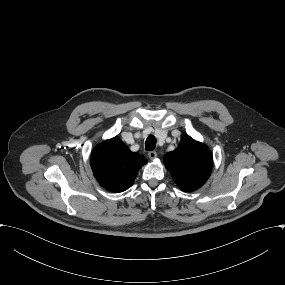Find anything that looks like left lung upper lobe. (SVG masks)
Masks as SVG:
<instances>
[{
  "mask_svg": "<svg viewBox=\"0 0 285 285\" xmlns=\"http://www.w3.org/2000/svg\"><path fill=\"white\" fill-rule=\"evenodd\" d=\"M164 164L180 189L191 192L209 178L212 154L207 146L185 136L174 151L165 155Z\"/></svg>",
  "mask_w": 285,
  "mask_h": 285,
  "instance_id": "obj_1",
  "label": "left lung upper lobe"
}]
</instances>
